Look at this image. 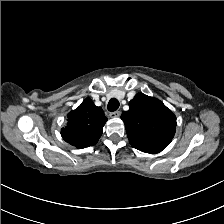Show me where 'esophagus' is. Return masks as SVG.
I'll list each match as a JSON object with an SVG mask.
<instances>
[{
	"mask_svg": "<svg viewBox=\"0 0 224 224\" xmlns=\"http://www.w3.org/2000/svg\"><path fill=\"white\" fill-rule=\"evenodd\" d=\"M121 115L120 111H114L110 113V117L114 118V117H119Z\"/></svg>",
	"mask_w": 224,
	"mask_h": 224,
	"instance_id": "34e87169",
	"label": "esophagus"
}]
</instances>
